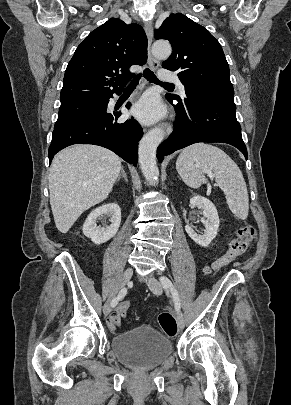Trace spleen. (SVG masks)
<instances>
[{
	"mask_svg": "<svg viewBox=\"0 0 291 405\" xmlns=\"http://www.w3.org/2000/svg\"><path fill=\"white\" fill-rule=\"evenodd\" d=\"M176 169L191 188L207 182L204 173H213L231 212L238 219L247 218L249 198L245 180L237 164L223 150L203 143L189 146L177 158Z\"/></svg>",
	"mask_w": 291,
	"mask_h": 405,
	"instance_id": "spleen-1",
	"label": "spleen"
}]
</instances>
